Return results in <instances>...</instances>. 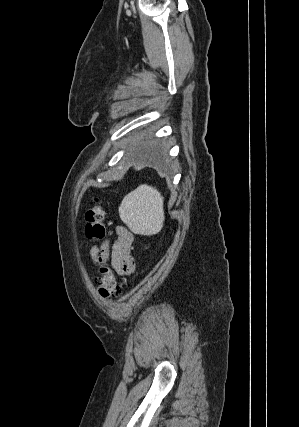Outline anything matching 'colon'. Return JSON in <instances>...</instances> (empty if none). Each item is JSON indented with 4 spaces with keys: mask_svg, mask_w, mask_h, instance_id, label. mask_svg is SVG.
<instances>
[{
    "mask_svg": "<svg viewBox=\"0 0 299 427\" xmlns=\"http://www.w3.org/2000/svg\"><path fill=\"white\" fill-rule=\"evenodd\" d=\"M86 226L85 235L91 242H98L107 235L105 225V211L98 199H94V204L89 206L85 214ZM99 265L100 276L97 287L101 297L106 299H116L123 293L122 284L116 279L112 269L102 257L95 261Z\"/></svg>",
    "mask_w": 299,
    "mask_h": 427,
    "instance_id": "obj_1",
    "label": "colon"
}]
</instances>
